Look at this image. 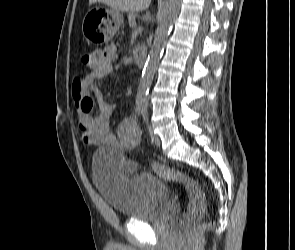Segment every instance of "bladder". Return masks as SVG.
Listing matches in <instances>:
<instances>
[{"label":"bladder","mask_w":295,"mask_h":250,"mask_svg":"<svg viewBox=\"0 0 295 250\" xmlns=\"http://www.w3.org/2000/svg\"><path fill=\"white\" fill-rule=\"evenodd\" d=\"M94 183L104 200L127 219L157 220L168 209L172 195L158 178L138 169L126 177L127 158L116 149L95 151L91 159ZM134 169V168H132Z\"/></svg>","instance_id":"1"}]
</instances>
